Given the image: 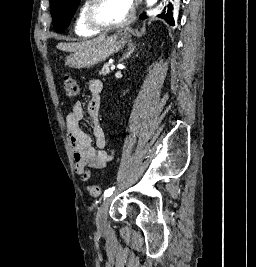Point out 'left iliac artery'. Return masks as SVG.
<instances>
[{
    "label": "left iliac artery",
    "mask_w": 256,
    "mask_h": 267,
    "mask_svg": "<svg viewBox=\"0 0 256 267\" xmlns=\"http://www.w3.org/2000/svg\"><path fill=\"white\" fill-rule=\"evenodd\" d=\"M114 190H115V187H112V188L105 190V192L103 194L104 198L111 196Z\"/></svg>",
    "instance_id": "left-iliac-artery-1"
}]
</instances>
